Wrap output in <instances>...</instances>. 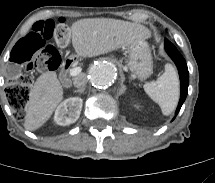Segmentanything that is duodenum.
<instances>
[{
    "label": "duodenum",
    "instance_id": "duodenum-1",
    "mask_svg": "<svg viewBox=\"0 0 215 183\" xmlns=\"http://www.w3.org/2000/svg\"><path fill=\"white\" fill-rule=\"evenodd\" d=\"M74 64V59L72 57L66 58L62 63V68L60 71V80L64 86L68 87L71 85V78L69 76V71Z\"/></svg>",
    "mask_w": 215,
    "mask_h": 183
}]
</instances>
